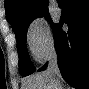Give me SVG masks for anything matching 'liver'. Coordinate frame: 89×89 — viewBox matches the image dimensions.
<instances>
[{"mask_svg":"<svg viewBox=\"0 0 89 89\" xmlns=\"http://www.w3.org/2000/svg\"><path fill=\"white\" fill-rule=\"evenodd\" d=\"M58 81V77L44 71L28 77L23 83L22 89H53V82L58 83Z\"/></svg>","mask_w":89,"mask_h":89,"instance_id":"obj_1","label":"liver"}]
</instances>
